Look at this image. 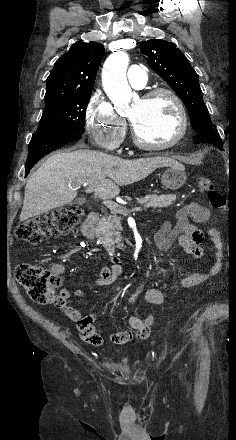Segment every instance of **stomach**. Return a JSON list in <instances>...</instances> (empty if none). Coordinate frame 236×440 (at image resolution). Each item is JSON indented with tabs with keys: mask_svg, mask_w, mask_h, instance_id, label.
Segmentation results:
<instances>
[{
	"mask_svg": "<svg viewBox=\"0 0 236 440\" xmlns=\"http://www.w3.org/2000/svg\"><path fill=\"white\" fill-rule=\"evenodd\" d=\"M166 169L161 175L162 185L171 190L179 189L186 181L185 168L178 162L174 161L166 165Z\"/></svg>",
	"mask_w": 236,
	"mask_h": 440,
	"instance_id": "obj_1",
	"label": "stomach"
}]
</instances>
